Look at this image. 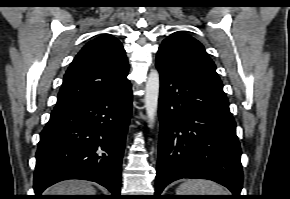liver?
Masks as SVG:
<instances>
[{
    "mask_svg": "<svg viewBox=\"0 0 290 199\" xmlns=\"http://www.w3.org/2000/svg\"><path fill=\"white\" fill-rule=\"evenodd\" d=\"M46 193L48 195H95L96 190L89 182L68 180L53 185Z\"/></svg>",
    "mask_w": 290,
    "mask_h": 199,
    "instance_id": "1",
    "label": "liver"
}]
</instances>
